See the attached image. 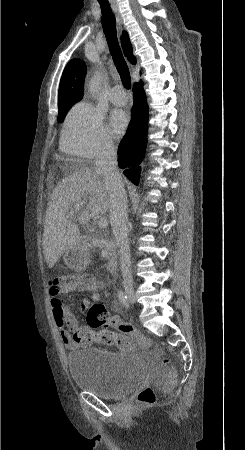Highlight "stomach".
I'll list each match as a JSON object with an SVG mask.
<instances>
[{
    "instance_id": "obj_1",
    "label": "stomach",
    "mask_w": 245,
    "mask_h": 450,
    "mask_svg": "<svg viewBox=\"0 0 245 450\" xmlns=\"http://www.w3.org/2000/svg\"><path fill=\"white\" fill-rule=\"evenodd\" d=\"M63 260L67 266L73 269H83L89 261V254L86 249L76 243L65 252Z\"/></svg>"
}]
</instances>
